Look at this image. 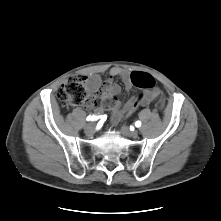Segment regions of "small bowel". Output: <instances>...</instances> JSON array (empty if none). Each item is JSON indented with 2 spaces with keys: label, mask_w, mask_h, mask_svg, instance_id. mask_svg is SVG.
<instances>
[{
  "label": "small bowel",
  "mask_w": 221,
  "mask_h": 221,
  "mask_svg": "<svg viewBox=\"0 0 221 221\" xmlns=\"http://www.w3.org/2000/svg\"><path fill=\"white\" fill-rule=\"evenodd\" d=\"M134 73L148 74L139 71L130 72L120 67L112 68L109 74L111 78L120 77L125 84L126 90L129 91L134 85L132 81ZM85 83L90 92L98 94L103 100V103L100 105L91 100L90 107L94 108L97 112L110 110L112 112V123H117L123 117L133 114L139 106L149 105L154 101H158L160 106L164 104L162 92L158 88L146 90L140 99L137 96L127 100L125 103H120L118 100L120 88L112 79L103 83L100 76L90 75L85 77Z\"/></svg>",
  "instance_id": "1"
}]
</instances>
